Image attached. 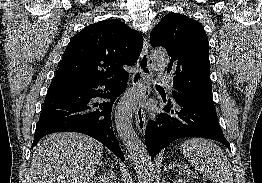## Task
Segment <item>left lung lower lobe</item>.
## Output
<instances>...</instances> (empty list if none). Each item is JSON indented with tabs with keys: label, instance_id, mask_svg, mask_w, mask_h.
<instances>
[{
	"label": "left lung lower lobe",
	"instance_id": "0a47b994",
	"mask_svg": "<svg viewBox=\"0 0 262 183\" xmlns=\"http://www.w3.org/2000/svg\"><path fill=\"white\" fill-rule=\"evenodd\" d=\"M165 113L150 121L145 131V143L151 158L165 146L183 137H202L221 142L230 150L217 120L213 101L196 98L164 100Z\"/></svg>",
	"mask_w": 262,
	"mask_h": 183
}]
</instances>
